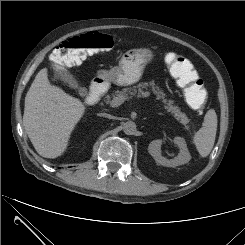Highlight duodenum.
Here are the masks:
<instances>
[{
	"label": "duodenum",
	"mask_w": 245,
	"mask_h": 245,
	"mask_svg": "<svg viewBox=\"0 0 245 245\" xmlns=\"http://www.w3.org/2000/svg\"><path fill=\"white\" fill-rule=\"evenodd\" d=\"M104 92V87L100 82H94L91 85L90 88V92L88 93V95L85 98V102L88 105H93L95 103H97L100 98L102 97Z\"/></svg>",
	"instance_id": "1"
}]
</instances>
